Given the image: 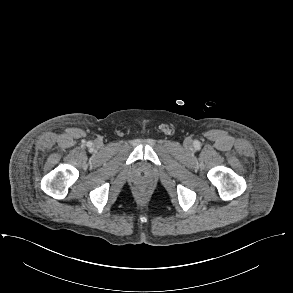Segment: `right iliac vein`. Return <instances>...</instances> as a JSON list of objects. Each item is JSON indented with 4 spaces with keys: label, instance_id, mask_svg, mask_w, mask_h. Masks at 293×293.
Wrapping results in <instances>:
<instances>
[{
    "label": "right iliac vein",
    "instance_id": "63e3f726",
    "mask_svg": "<svg viewBox=\"0 0 293 293\" xmlns=\"http://www.w3.org/2000/svg\"><path fill=\"white\" fill-rule=\"evenodd\" d=\"M96 145H100V142H96Z\"/></svg>",
    "mask_w": 293,
    "mask_h": 293
}]
</instances>
